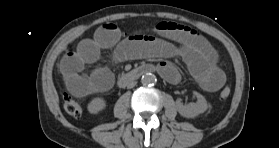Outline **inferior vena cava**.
<instances>
[{"instance_id": "1", "label": "inferior vena cava", "mask_w": 279, "mask_h": 148, "mask_svg": "<svg viewBox=\"0 0 279 148\" xmlns=\"http://www.w3.org/2000/svg\"><path fill=\"white\" fill-rule=\"evenodd\" d=\"M136 84H137L136 81H131V82L128 83L127 88H129V89L133 88Z\"/></svg>"}]
</instances>
